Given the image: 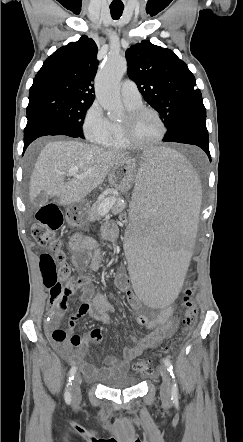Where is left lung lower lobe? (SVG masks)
I'll use <instances>...</instances> for the list:
<instances>
[{"mask_svg": "<svg viewBox=\"0 0 243 442\" xmlns=\"http://www.w3.org/2000/svg\"><path fill=\"white\" fill-rule=\"evenodd\" d=\"M205 121L206 112L192 114L185 118L171 134L165 136L163 141L197 145L206 152L211 161Z\"/></svg>", "mask_w": 243, "mask_h": 442, "instance_id": "left-lung-lower-lobe-1", "label": "left lung lower lobe"}]
</instances>
